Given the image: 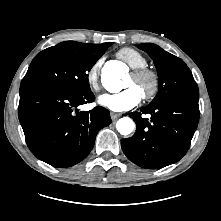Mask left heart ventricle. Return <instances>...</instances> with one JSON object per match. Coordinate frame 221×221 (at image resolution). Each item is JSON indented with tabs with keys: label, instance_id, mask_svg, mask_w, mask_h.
Instances as JSON below:
<instances>
[{
	"label": "left heart ventricle",
	"instance_id": "b2bd125f",
	"mask_svg": "<svg viewBox=\"0 0 221 221\" xmlns=\"http://www.w3.org/2000/svg\"><path fill=\"white\" fill-rule=\"evenodd\" d=\"M130 85L135 86L142 93V91L148 87V82L147 81L136 82L133 76L130 74L129 77L126 79L124 86L128 87Z\"/></svg>",
	"mask_w": 221,
	"mask_h": 221
}]
</instances>
